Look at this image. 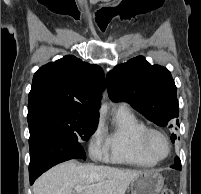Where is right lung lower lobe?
Listing matches in <instances>:
<instances>
[{
	"mask_svg": "<svg viewBox=\"0 0 201 194\" xmlns=\"http://www.w3.org/2000/svg\"><path fill=\"white\" fill-rule=\"evenodd\" d=\"M29 148L31 185L37 177L52 166L85 153L78 141L46 127H39L30 132Z\"/></svg>",
	"mask_w": 201,
	"mask_h": 194,
	"instance_id": "98d812e1",
	"label": "right lung lower lobe"
}]
</instances>
